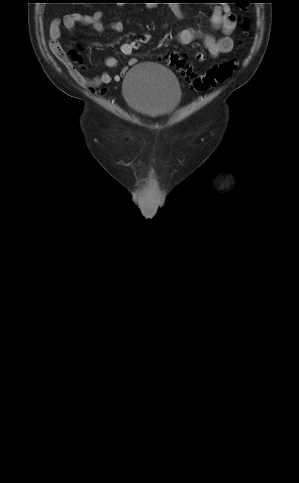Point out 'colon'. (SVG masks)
Returning <instances> with one entry per match:
<instances>
[{"label":"colon","instance_id":"5ec220e1","mask_svg":"<svg viewBox=\"0 0 299 483\" xmlns=\"http://www.w3.org/2000/svg\"><path fill=\"white\" fill-rule=\"evenodd\" d=\"M243 29L245 32L248 31L249 24L247 22L244 23ZM166 58L172 66L180 71L191 86L198 91H207L216 87L218 84L224 83L230 78L236 68V61L228 60L212 66L205 74L199 75L185 62L181 55L170 53ZM71 59L74 63L81 62V56L75 51L71 52ZM73 72H78L75 66Z\"/></svg>","mask_w":299,"mask_h":483}]
</instances>
